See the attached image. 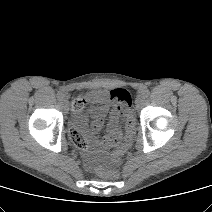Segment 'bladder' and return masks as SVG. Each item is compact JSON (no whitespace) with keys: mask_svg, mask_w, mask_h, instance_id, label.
Masks as SVG:
<instances>
[{"mask_svg":"<svg viewBox=\"0 0 212 212\" xmlns=\"http://www.w3.org/2000/svg\"><path fill=\"white\" fill-rule=\"evenodd\" d=\"M73 123L78 127H83L86 124V115L82 110H77L73 113Z\"/></svg>","mask_w":212,"mask_h":212,"instance_id":"1","label":"bladder"}]
</instances>
